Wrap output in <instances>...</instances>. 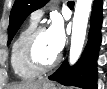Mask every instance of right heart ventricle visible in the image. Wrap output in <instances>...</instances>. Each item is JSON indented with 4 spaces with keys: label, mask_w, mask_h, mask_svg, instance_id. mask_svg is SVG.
<instances>
[{
    "label": "right heart ventricle",
    "mask_w": 107,
    "mask_h": 89,
    "mask_svg": "<svg viewBox=\"0 0 107 89\" xmlns=\"http://www.w3.org/2000/svg\"><path fill=\"white\" fill-rule=\"evenodd\" d=\"M37 27V22L30 19L15 38L11 47V66L14 73L22 79H33L39 74L30 70L24 63V46L30 34Z\"/></svg>",
    "instance_id": "obj_1"
}]
</instances>
